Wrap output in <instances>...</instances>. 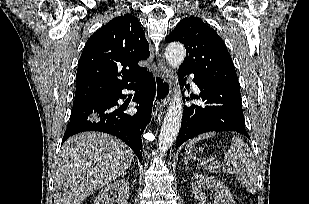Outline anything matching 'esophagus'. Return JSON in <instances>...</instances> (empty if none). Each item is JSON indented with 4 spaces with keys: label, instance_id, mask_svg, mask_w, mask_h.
<instances>
[{
    "label": "esophagus",
    "instance_id": "esophagus-1",
    "mask_svg": "<svg viewBox=\"0 0 309 204\" xmlns=\"http://www.w3.org/2000/svg\"><path fill=\"white\" fill-rule=\"evenodd\" d=\"M159 70L155 74L156 93L152 107V117H155L158 111L167 104L170 94L173 75L171 69L162 61H158Z\"/></svg>",
    "mask_w": 309,
    "mask_h": 204
}]
</instances>
